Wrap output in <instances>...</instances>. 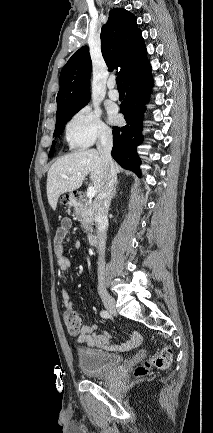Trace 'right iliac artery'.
I'll return each instance as SVG.
<instances>
[{"mask_svg":"<svg viewBox=\"0 0 213 433\" xmlns=\"http://www.w3.org/2000/svg\"><path fill=\"white\" fill-rule=\"evenodd\" d=\"M100 315H101L102 318H109V316H110V314L106 310H102L100 312Z\"/></svg>","mask_w":213,"mask_h":433,"instance_id":"82829eb1","label":"right iliac artery"}]
</instances>
